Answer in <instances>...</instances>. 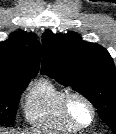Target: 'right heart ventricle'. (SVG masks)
Instances as JSON below:
<instances>
[{"label":"right heart ventricle","mask_w":116,"mask_h":134,"mask_svg":"<svg viewBox=\"0 0 116 134\" xmlns=\"http://www.w3.org/2000/svg\"><path fill=\"white\" fill-rule=\"evenodd\" d=\"M65 91L49 78L38 79L24 99L26 120L38 128L60 133H74L80 128L64 116L60 100Z\"/></svg>","instance_id":"obj_1"}]
</instances>
